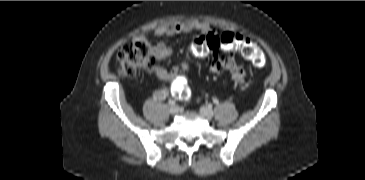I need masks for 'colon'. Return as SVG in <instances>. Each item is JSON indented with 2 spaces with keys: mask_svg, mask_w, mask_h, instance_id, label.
<instances>
[{
  "mask_svg": "<svg viewBox=\"0 0 365 180\" xmlns=\"http://www.w3.org/2000/svg\"><path fill=\"white\" fill-rule=\"evenodd\" d=\"M218 49L233 53L239 52L246 60L256 67H263L266 58L262 49L254 42L232 33H223L220 36L208 35L199 42L192 44L191 52L198 56H205L210 50ZM118 73L122 78H132L144 70H151L155 65V57L147 45L141 41H130L121 46L117 52ZM173 95L182 100L190 98L188 84L178 79L172 86Z\"/></svg>",
  "mask_w": 365,
  "mask_h": 180,
  "instance_id": "colon-1",
  "label": "colon"
}]
</instances>
